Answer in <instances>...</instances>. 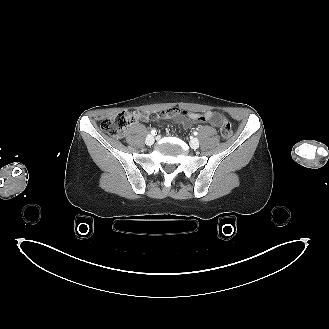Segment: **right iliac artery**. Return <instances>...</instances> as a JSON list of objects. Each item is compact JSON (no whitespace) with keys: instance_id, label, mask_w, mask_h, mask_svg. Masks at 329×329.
I'll list each match as a JSON object with an SVG mask.
<instances>
[{"instance_id":"1","label":"right iliac artery","mask_w":329,"mask_h":329,"mask_svg":"<svg viewBox=\"0 0 329 329\" xmlns=\"http://www.w3.org/2000/svg\"><path fill=\"white\" fill-rule=\"evenodd\" d=\"M151 134H152L153 136H155V135H157V131H156L155 129H153V130L151 131Z\"/></svg>"}]
</instances>
